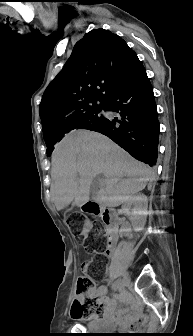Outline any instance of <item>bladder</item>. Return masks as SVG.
Masks as SVG:
<instances>
[{
	"label": "bladder",
	"mask_w": 193,
	"mask_h": 336,
	"mask_svg": "<svg viewBox=\"0 0 193 336\" xmlns=\"http://www.w3.org/2000/svg\"><path fill=\"white\" fill-rule=\"evenodd\" d=\"M100 325H101L100 322H96V323H94L91 327H89V329H90V330H96V329H98V328H96V327H98V326H100Z\"/></svg>",
	"instance_id": "bladder-1"
}]
</instances>
